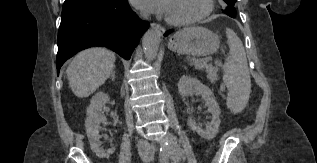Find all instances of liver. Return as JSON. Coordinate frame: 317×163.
Here are the masks:
<instances>
[{
    "mask_svg": "<svg viewBox=\"0 0 317 163\" xmlns=\"http://www.w3.org/2000/svg\"><path fill=\"white\" fill-rule=\"evenodd\" d=\"M115 55L106 48H90L78 53L66 73L75 96L88 97L110 76L115 68Z\"/></svg>",
    "mask_w": 317,
    "mask_h": 163,
    "instance_id": "obj_1",
    "label": "liver"
}]
</instances>
